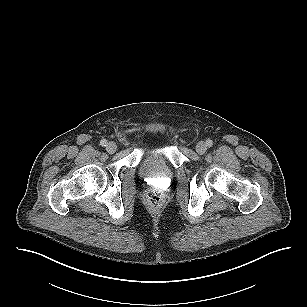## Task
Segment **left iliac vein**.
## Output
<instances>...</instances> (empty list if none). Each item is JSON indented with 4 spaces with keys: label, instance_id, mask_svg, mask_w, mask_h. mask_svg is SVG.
<instances>
[{
    "label": "left iliac vein",
    "instance_id": "obj_1",
    "mask_svg": "<svg viewBox=\"0 0 307 307\" xmlns=\"http://www.w3.org/2000/svg\"><path fill=\"white\" fill-rule=\"evenodd\" d=\"M195 149L198 154L202 155L207 151V146L204 142H198Z\"/></svg>",
    "mask_w": 307,
    "mask_h": 307
}]
</instances>
